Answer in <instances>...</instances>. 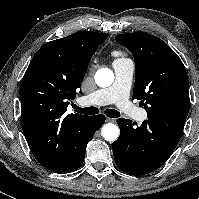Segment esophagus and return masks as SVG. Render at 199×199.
Masks as SVG:
<instances>
[{"label":"esophagus","mask_w":199,"mask_h":199,"mask_svg":"<svg viewBox=\"0 0 199 199\" xmlns=\"http://www.w3.org/2000/svg\"><path fill=\"white\" fill-rule=\"evenodd\" d=\"M106 121H107V122H115V119L107 117V118H106Z\"/></svg>","instance_id":"1"}]
</instances>
